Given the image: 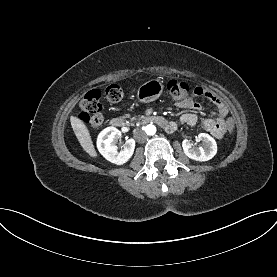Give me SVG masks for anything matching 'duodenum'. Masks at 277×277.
<instances>
[{
  "label": "duodenum",
  "mask_w": 277,
  "mask_h": 277,
  "mask_svg": "<svg viewBox=\"0 0 277 277\" xmlns=\"http://www.w3.org/2000/svg\"><path fill=\"white\" fill-rule=\"evenodd\" d=\"M142 121L145 123H155L161 126L166 132L172 133L176 129V124L173 122L167 121L164 117L159 115H149L142 118ZM110 125L114 128H123L126 126L124 119L120 117H114L110 121Z\"/></svg>",
  "instance_id": "1"
}]
</instances>
